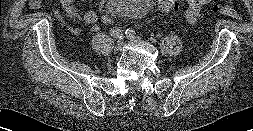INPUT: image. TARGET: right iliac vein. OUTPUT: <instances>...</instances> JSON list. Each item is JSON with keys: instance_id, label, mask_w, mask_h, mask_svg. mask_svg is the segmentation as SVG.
<instances>
[{"instance_id": "obj_1", "label": "right iliac vein", "mask_w": 253, "mask_h": 131, "mask_svg": "<svg viewBox=\"0 0 253 131\" xmlns=\"http://www.w3.org/2000/svg\"><path fill=\"white\" fill-rule=\"evenodd\" d=\"M123 45H124V42L122 40H119L114 47V53L117 54L121 50Z\"/></svg>"}]
</instances>
